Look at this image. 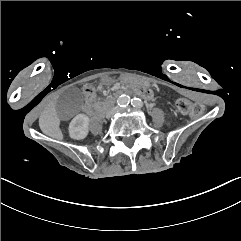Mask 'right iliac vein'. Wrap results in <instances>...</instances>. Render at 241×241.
I'll list each match as a JSON object with an SVG mask.
<instances>
[{"mask_svg": "<svg viewBox=\"0 0 241 241\" xmlns=\"http://www.w3.org/2000/svg\"><path fill=\"white\" fill-rule=\"evenodd\" d=\"M119 110L117 109V108H114L113 109V111H112V113H116V112H118Z\"/></svg>", "mask_w": 241, "mask_h": 241, "instance_id": "1", "label": "right iliac vein"}]
</instances>
